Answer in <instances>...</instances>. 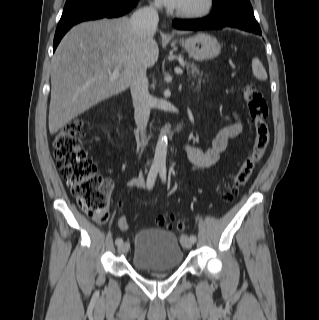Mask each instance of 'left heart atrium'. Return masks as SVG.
<instances>
[{
    "mask_svg": "<svg viewBox=\"0 0 319 320\" xmlns=\"http://www.w3.org/2000/svg\"><path fill=\"white\" fill-rule=\"evenodd\" d=\"M167 7L172 9H181L187 0H161Z\"/></svg>",
    "mask_w": 319,
    "mask_h": 320,
    "instance_id": "obj_1",
    "label": "left heart atrium"
}]
</instances>
